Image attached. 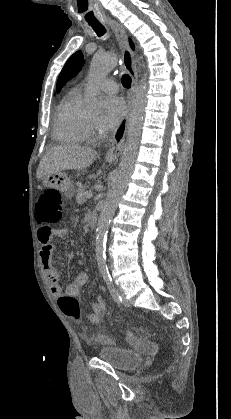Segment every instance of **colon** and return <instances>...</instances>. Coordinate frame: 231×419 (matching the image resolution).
<instances>
[{"label":"colon","instance_id":"obj_1","mask_svg":"<svg viewBox=\"0 0 231 419\" xmlns=\"http://www.w3.org/2000/svg\"><path fill=\"white\" fill-rule=\"evenodd\" d=\"M63 212L62 196L59 191L48 189L39 196L35 206V217L39 223L57 224L61 221ZM58 305L61 311L74 323L80 322V304L76 298L67 295L60 296ZM141 332L147 334L144 329H141ZM89 338L91 339V337ZM100 340L106 344L113 343V340L107 337Z\"/></svg>","mask_w":231,"mask_h":419}]
</instances>
